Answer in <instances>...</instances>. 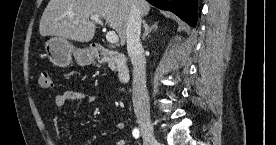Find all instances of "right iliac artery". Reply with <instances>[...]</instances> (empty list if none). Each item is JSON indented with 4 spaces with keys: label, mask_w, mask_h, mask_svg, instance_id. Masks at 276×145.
Instances as JSON below:
<instances>
[{
    "label": "right iliac artery",
    "mask_w": 276,
    "mask_h": 145,
    "mask_svg": "<svg viewBox=\"0 0 276 145\" xmlns=\"http://www.w3.org/2000/svg\"><path fill=\"white\" fill-rule=\"evenodd\" d=\"M132 134H133V137H134V138H136V139L139 138V136H140L139 129H138V128H135V129L133 130Z\"/></svg>",
    "instance_id": "82829eb1"
}]
</instances>
